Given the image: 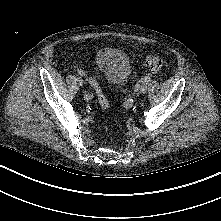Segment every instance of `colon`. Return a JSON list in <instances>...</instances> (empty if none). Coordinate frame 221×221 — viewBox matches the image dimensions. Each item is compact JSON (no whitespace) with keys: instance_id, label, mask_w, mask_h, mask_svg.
I'll return each mask as SVG.
<instances>
[{"instance_id":"obj_1","label":"colon","mask_w":221,"mask_h":221,"mask_svg":"<svg viewBox=\"0 0 221 221\" xmlns=\"http://www.w3.org/2000/svg\"><path fill=\"white\" fill-rule=\"evenodd\" d=\"M144 64L153 72V73H160L162 70V60L160 57L155 56V55H148L146 56L144 60ZM90 83L92 87L95 89L96 96L98 103L100 107L104 110L109 109V102L107 100V97L104 93V90L100 83L95 79V78H90Z\"/></svg>"}]
</instances>
